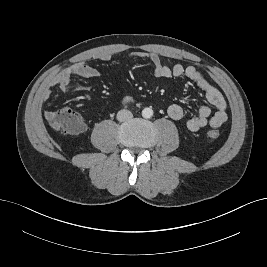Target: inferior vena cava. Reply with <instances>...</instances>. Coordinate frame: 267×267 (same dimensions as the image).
I'll return each instance as SVG.
<instances>
[{
	"label": "inferior vena cava",
	"mask_w": 267,
	"mask_h": 267,
	"mask_svg": "<svg viewBox=\"0 0 267 267\" xmlns=\"http://www.w3.org/2000/svg\"><path fill=\"white\" fill-rule=\"evenodd\" d=\"M133 117V114L127 110V109H122L118 111L117 113V120L120 122L127 121Z\"/></svg>",
	"instance_id": "obj_1"
}]
</instances>
